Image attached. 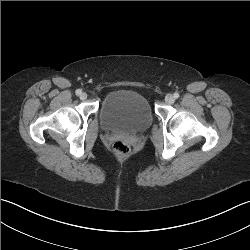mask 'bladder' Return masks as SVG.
<instances>
[{
	"label": "bladder",
	"mask_w": 250,
	"mask_h": 250,
	"mask_svg": "<svg viewBox=\"0 0 250 250\" xmlns=\"http://www.w3.org/2000/svg\"><path fill=\"white\" fill-rule=\"evenodd\" d=\"M99 115L102 126L114 132L135 134L147 130L152 123L148 100L132 90L121 89L107 94Z\"/></svg>",
	"instance_id": "1"
}]
</instances>
